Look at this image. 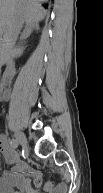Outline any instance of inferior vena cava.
Segmentation results:
<instances>
[{
	"label": "inferior vena cava",
	"mask_w": 103,
	"mask_h": 193,
	"mask_svg": "<svg viewBox=\"0 0 103 193\" xmlns=\"http://www.w3.org/2000/svg\"><path fill=\"white\" fill-rule=\"evenodd\" d=\"M20 26H21V21L18 20L17 23L12 27V39L10 41V43L7 45V50L9 51V49H11L15 43V40L17 39V35L19 33L20 30Z\"/></svg>",
	"instance_id": "1"
}]
</instances>
